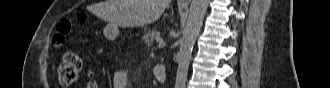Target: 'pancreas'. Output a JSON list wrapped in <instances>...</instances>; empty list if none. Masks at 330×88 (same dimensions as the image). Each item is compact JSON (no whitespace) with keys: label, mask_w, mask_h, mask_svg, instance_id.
<instances>
[{"label":"pancreas","mask_w":330,"mask_h":88,"mask_svg":"<svg viewBox=\"0 0 330 88\" xmlns=\"http://www.w3.org/2000/svg\"><path fill=\"white\" fill-rule=\"evenodd\" d=\"M160 39V34L157 31H152L151 33H146L142 40L145 44L153 45L155 41H158Z\"/></svg>","instance_id":"obj_1"}]
</instances>
